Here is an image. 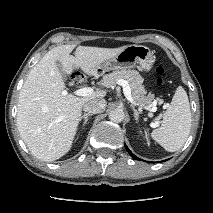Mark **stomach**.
<instances>
[{"mask_svg":"<svg viewBox=\"0 0 213 213\" xmlns=\"http://www.w3.org/2000/svg\"><path fill=\"white\" fill-rule=\"evenodd\" d=\"M154 63L153 52L143 45H128L118 55L103 62L97 69L104 73L111 70H125L138 67L149 72Z\"/></svg>","mask_w":213,"mask_h":213,"instance_id":"1","label":"stomach"}]
</instances>
